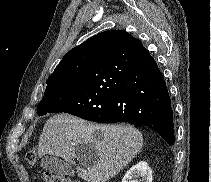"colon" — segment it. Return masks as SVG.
<instances>
[{
	"label": "colon",
	"mask_w": 211,
	"mask_h": 182,
	"mask_svg": "<svg viewBox=\"0 0 211 182\" xmlns=\"http://www.w3.org/2000/svg\"><path fill=\"white\" fill-rule=\"evenodd\" d=\"M37 153L34 150H30L27 152L26 154V160L28 162L29 165H35L37 163ZM43 181L44 182H81L78 180H72L70 178L52 173L50 171H45L43 173Z\"/></svg>",
	"instance_id": "obj_1"
}]
</instances>
